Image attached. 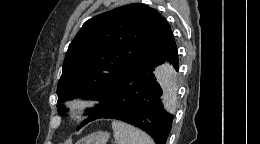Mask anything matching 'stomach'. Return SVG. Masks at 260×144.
I'll return each mask as SVG.
<instances>
[{
  "instance_id": "obj_1",
  "label": "stomach",
  "mask_w": 260,
  "mask_h": 144,
  "mask_svg": "<svg viewBox=\"0 0 260 144\" xmlns=\"http://www.w3.org/2000/svg\"><path fill=\"white\" fill-rule=\"evenodd\" d=\"M109 137L108 132L97 131L83 137L76 144H106Z\"/></svg>"
}]
</instances>
